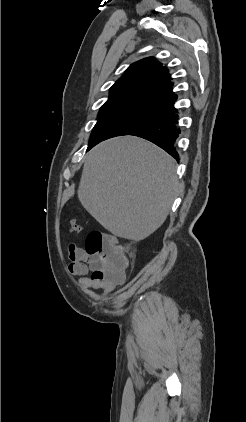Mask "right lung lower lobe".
Masks as SVG:
<instances>
[{
  "instance_id": "1",
  "label": "right lung lower lobe",
  "mask_w": 246,
  "mask_h": 422,
  "mask_svg": "<svg viewBox=\"0 0 246 422\" xmlns=\"http://www.w3.org/2000/svg\"><path fill=\"white\" fill-rule=\"evenodd\" d=\"M174 102L162 109V115L154 121L140 127L129 135H134L147 139L157 146L164 149L177 161L178 154L174 143L180 132L177 129V109L173 106Z\"/></svg>"
}]
</instances>
